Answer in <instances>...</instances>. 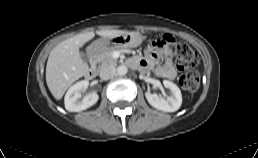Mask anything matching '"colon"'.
<instances>
[{"label":"colon","instance_id":"1","mask_svg":"<svg viewBox=\"0 0 258 158\" xmlns=\"http://www.w3.org/2000/svg\"><path fill=\"white\" fill-rule=\"evenodd\" d=\"M168 44L174 45L176 65L183 71L179 78L181 87L190 92L196 91L199 87V76L193 68L199 63L197 54L188 45L181 42H175L167 35L154 39L150 47L160 49Z\"/></svg>","mask_w":258,"mask_h":158}]
</instances>
